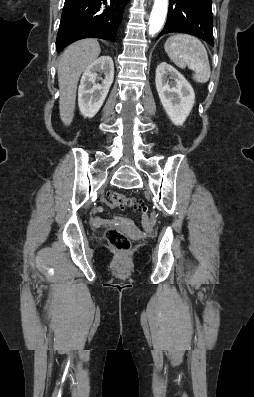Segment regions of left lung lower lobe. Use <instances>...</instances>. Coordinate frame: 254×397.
Returning <instances> with one entry per match:
<instances>
[{
  "mask_svg": "<svg viewBox=\"0 0 254 397\" xmlns=\"http://www.w3.org/2000/svg\"><path fill=\"white\" fill-rule=\"evenodd\" d=\"M211 3L212 0H170L167 22L159 37L181 32L195 35L213 46Z\"/></svg>",
  "mask_w": 254,
  "mask_h": 397,
  "instance_id": "left-lung-lower-lobe-1",
  "label": "left lung lower lobe"
}]
</instances>
